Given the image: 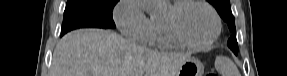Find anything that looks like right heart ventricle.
I'll list each match as a JSON object with an SVG mask.
<instances>
[{
	"label": "right heart ventricle",
	"mask_w": 287,
	"mask_h": 76,
	"mask_svg": "<svg viewBox=\"0 0 287 76\" xmlns=\"http://www.w3.org/2000/svg\"><path fill=\"white\" fill-rule=\"evenodd\" d=\"M177 1L166 0L162 11L154 12L149 17V32L144 43L161 49H174L180 45L171 36L166 21L168 9Z\"/></svg>",
	"instance_id": "e07e8e85"
}]
</instances>
